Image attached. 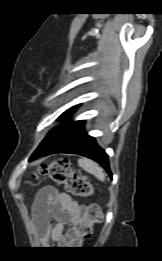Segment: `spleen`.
<instances>
[{
    "mask_svg": "<svg viewBox=\"0 0 162 261\" xmlns=\"http://www.w3.org/2000/svg\"><path fill=\"white\" fill-rule=\"evenodd\" d=\"M78 164L81 168L94 175L100 181L105 180L103 169L96 162L87 158H81L78 160Z\"/></svg>",
    "mask_w": 162,
    "mask_h": 261,
    "instance_id": "3e777b00",
    "label": "spleen"
}]
</instances>
